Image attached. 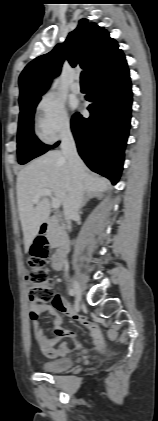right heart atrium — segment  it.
<instances>
[{
	"instance_id": "obj_1",
	"label": "right heart atrium",
	"mask_w": 158,
	"mask_h": 421,
	"mask_svg": "<svg viewBox=\"0 0 158 421\" xmlns=\"http://www.w3.org/2000/svg\"><path fill=\"white\" fill-rule=\"evenodd\" d=\"M36 121L40 136L54 142L67 134L71 121L65 104L52 93L43 95L36 105Z\"/></svg>"
}]
</instances>
